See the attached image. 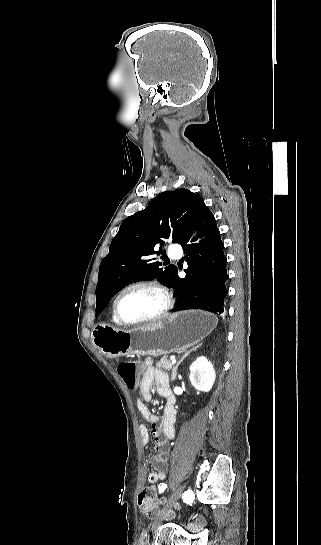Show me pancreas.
<instances>
[{
  "mask_svg": "<svg viewBox=\"0 0 321 545\" xmlns=\"http://www.w3.org/2000/svg\"><path fill=\"white\" fill-rule=\"evenodd\" d=\"M156 367H157V369H158V367H160V369H162V371H171L172 363H171L170 359H167V357H162V359H160V361H158V363H156Z\"/></svg>",
  "mask_w": 321,
  "mask_h": 545,
  "instance_id": "cf45deb5",
  "label": "pancreas"
}]
</instances>
